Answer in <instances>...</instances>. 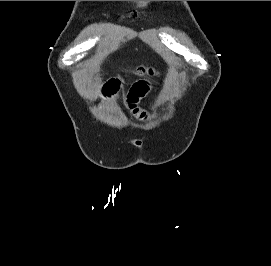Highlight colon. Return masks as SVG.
<instances>
[{
    "mask_svg": "<svg viewBox=\"0 0 271 266\" xmlns=\"http://www.w3.org/2000/svg\"><path fill=\"white\" fill-rule=\"evenodd\" d=\"M146 71H147V72H152V70H151V69H150V70H149V69H146Z\"/></svg>",
    "mask_w": 271,
    "mask_h": 266,
    "instance_id": "1",
    "label": "colon"
}]
</instances>
